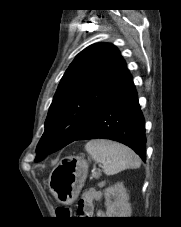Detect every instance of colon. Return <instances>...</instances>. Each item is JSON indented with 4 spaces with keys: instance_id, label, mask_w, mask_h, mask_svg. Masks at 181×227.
Returning a JSON list of instances; mask_svg holds the SVG:
<instances>
[{
    "instance_id": "colon-1",
    "label": "colon",
    "mask_w": 181,
    "mask_h": 227,
    "mask_svg": "<svg viewBox=\"0 0 181 227\" xmlns=\"http://www.w3.org/2000/svg\"><path fill=\"white\" fill-rule=\"evenodd\" d=\"M58 213L60 214V215H68L69 214V208H67V207H61V208H59V210H58Z\"/></svg>"
}]
</instances>
